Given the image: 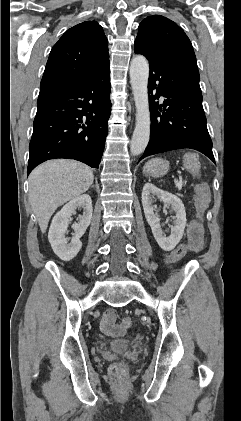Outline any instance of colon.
Returning <instances> with one entry per match:
<instances>
[{
	"mask_svg": "<svg viewBox=\"0 0 241 421\" xmlns=\"http://www.w3.org/2000/svg\"><path fill=\"white\" fill-rule=\"evenodd\" d=\"M186 166L193 173L199 172L200 164L195 154H190L187 156ZM209 203H210V188L206 183H200L196 188V198H195L196 216L198 218H202ZM186 253H187V245L180 244L169 255V257L167 258V263L171 265L179 261L185 256ZM121 324L129 327L131 324V319L125 316L121 319ZM110 371L114 377L120 378L124 372V366L121 363H115L111 366Z\"/></svg>",
	"mask_w": 241,
	"mask_h": 421,
	"instance_id": "5ec220e1",
	"label": "colon"
}]
</instances>
